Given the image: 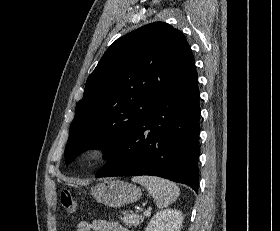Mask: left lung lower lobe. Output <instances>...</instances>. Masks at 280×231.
I'll return each instance as SVG.
<instances>
[{
  "mask_svg": "<svg viewBox=\"0 0 280 231\" xmlns=\"http://www.w3.org/2000/svg\"><path fill=\"white\" fill-rule=\"evenodd\" d=\"M199 94L195 71L158 99L117 143L96 177L152 175L198 193Z\"/></svg>",
  "mask_w": 280,
  "mask_h": 231,
  "instance_id": "0a47b994",
  "label": "left lung lower lobe"
}]
</instances>
